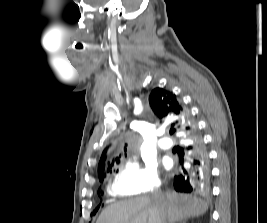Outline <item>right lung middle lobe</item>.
<instances>
[{
  "label": "right lung middle lobe",
  "mask_w": 267,
  "mask_h": 223,
  "mask_svg": "<svg viewBox=\"0 0 267 223\" xmlns=\"http://www.w3.org/2000/svg\"><path fill=\"white\" fill-rule=\"evenodd\" d=\"M103 178H104V175H103V177H101L100 181H102ZM97 210H98V208H96V210L93 212V214H95Z\"/></svg>",
  "instance_id": "1"
}]
</instances>
